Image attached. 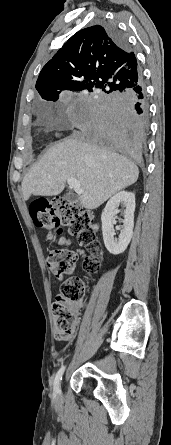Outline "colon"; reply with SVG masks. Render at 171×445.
I'll list each match as a JSON object with an SVG mask.
<instances>
[{
  "mask_svg": "<svg viewBox=\"0 0 171 445\" xmlns=\"http://www.w3.org/2000/svg\"><path fill=\"white\" fill-rule=\"evenodd\" d=\"M30 215L37 227L48 231L49 239L66 228L91 253H98L101 250L96 237L94 214L78 203L62 199H53L50 202L38 200L31 204ZM46 261L54 276L67 277L53 303V316L56 339L68 341L76 329V307L84 297L85 285L81 278L71 275L77 262L75 253L65 249L50 250L46 255ZM84 269L88 274L96 273L99 269L98 259L93 256L87 258Z\"/></svg>",
  "mask_w": 171,
  "mask_h": 445,
  "instance_id": "1",
  "label": "colon"
}]
</instances>
